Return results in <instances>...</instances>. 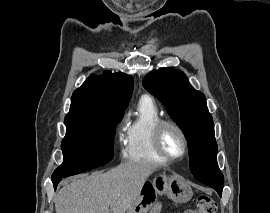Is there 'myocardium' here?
<instances>
[{
    "instance_id": "1",
    "label": "myocardium",
    "mask_w": 270,
    "mask_h": 213,
    "mask_svg": "<svg viewBox=\"0 0 270 213\" xmlns=\"http://www.w3.org/2000/svg\"><path fill=\"white\" fill-rule=\"evenodd\" d=\"M173 128L175 129L179 135L182 138L183 141V152L180 156H171L169 155L164 147H163V134L167 128ZM153 145L156 150V152L166 161L168 162H175L179 161L181 159H184L188 153H189V142L187 135L184 131V129L175 121L173 120H168V119H162L160 120L153 131Z\"/></svg>"
}]
</instances>
